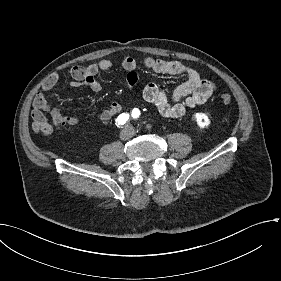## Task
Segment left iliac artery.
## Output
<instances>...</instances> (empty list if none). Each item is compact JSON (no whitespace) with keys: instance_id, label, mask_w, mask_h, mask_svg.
Wrapping results in <instances>:
<instances>
[{"instance_id":"1","label":"left iliac artery","mask_w":281,"mask_h":281,"mask_svg":"<svg viewBox=\"0 0 281 281\" xmlns=\"http://www.w3.org/2000/svg\"><path fill=\"white\" fill-rule=\"evenodd\" d=\"M140 116V111H139V109H137V108H135V109H133V111H132V117L133 118H138Z\"/></svg>"}]
</instances>
